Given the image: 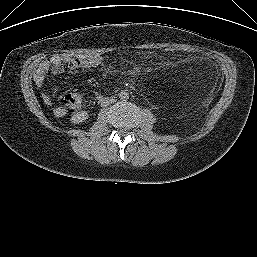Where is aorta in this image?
<instances>
[{
  "instance_id": "1",
  "label": "aorta",
  "mask_w": 257,
  "mask_h": 257,
  "mask_svg": "<svg viewBox=\"0 0 257 257\" xmlns=\"http://www.w3.org/2000/svg\"><path fill=\"white\" fill-rule=\"evenodd\" d=\"M119 98L123 101L129 99V93L128 92H125V91H122L120 92L119 94Z\"/></svg>"
}]
</instances>
